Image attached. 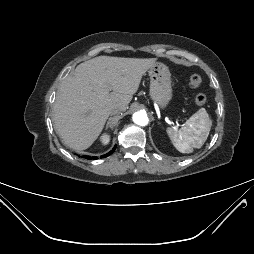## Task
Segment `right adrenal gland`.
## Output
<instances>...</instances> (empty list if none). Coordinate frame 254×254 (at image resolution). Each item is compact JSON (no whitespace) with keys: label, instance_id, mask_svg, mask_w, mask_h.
<instances>
[{"label":"right adrenal gland","instance_id":"right-adrenal-gland-1","mask_svg":"<svg viewBox=\"0 0 254 254\" xmlns=\"http://www.w3.org/2000/svg\"><path fill=\"white\" fill-rule=\"evenodd\" d=\"M110 120H111V117L109 118V120H108V122H107V124H106V129H108V127H109ZM110 127L112 128L111 125H110Z\"/></svg>","mask_w":254,"mask_h":254}]
</instances>
